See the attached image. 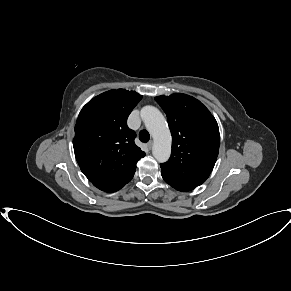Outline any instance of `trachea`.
Masks as SVG:
<instances>
[{
  "label": "trachea",
  "instance_id": "obj_1",
  "mask_svg": "<svg viewBox=\"0 0 291 291\" xmlns=\"http://www.w3.org/2000/svg\"><path fill=\"white\" fill-rule=\"evenodd\" d=\"M139 139H140L142 142H148L149 139H150V135H149V133H148L146 130H142V131H140V133H139Z\"/></svg>",
  "mask_w": 291,
  "mask_h": 291
}]
</instances>
